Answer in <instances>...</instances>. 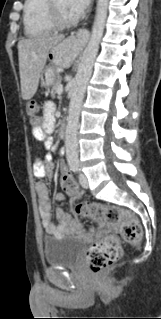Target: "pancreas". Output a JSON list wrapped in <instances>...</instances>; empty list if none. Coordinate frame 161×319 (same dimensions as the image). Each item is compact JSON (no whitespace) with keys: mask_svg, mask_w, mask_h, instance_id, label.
<instances>
[{"mask_svg":"<svg viewBox=\"0 0 161 319\" xmlns=\"http://www.w3.org/2000/svg\"><path fill=\"white\" fill-rule=\"evenodd\" d=\"M59 85H61V78L59 75H57L55 77V81L53 83V87H52V91H51L52 97H55V95L58 93L57 90H58Z\"/></svg>","mask_w":161,"mask_h":319,"instance_id":"pancreas-1","label":"pancreas"}]
</instances>
